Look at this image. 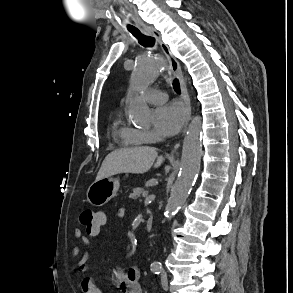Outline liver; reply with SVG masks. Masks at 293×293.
I'll use <instances>...</instances> for the list:
<instances>
[{"label": "liver", "instance_id": "obj_1", "mask_svg": "<svg viewBox=\"0 0 293 293\" xmlns=\"http://www.w3.org/2000/svg\"><path fill=\"white\" fill-rule=\"evenodd\" d=\"M156 158L155 168L163 163L164 158L158 157L155 148L147 146L115 150L104 159L96 180L120 173L143 174L150 170Z\"/></svg>", "mask_w": 293, "mask_h": 293}]
</instances>
